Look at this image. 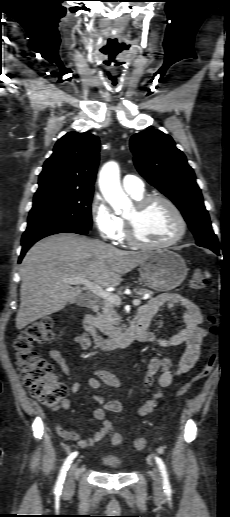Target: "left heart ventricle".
I'll return each mask as SVG.
<instances>
[{
    "mask_svg": "<svg viewBox=\"0 0 230 517\" xmlns=\"http://www.w3.org/2000/svg\"><path fill=\"white\" fill-rule=\"evenodd\" d=\"M126 217L134 220L137 234L149 243L168 241L179 229L174 213L161 201L152 202L141 212L133 207Z\"/></svg>",
    "mask_w": 230,
    "mask_h": 517,
    "instance_id": "left-heart-ventricle-1",
    "label": "left heart ventricle"
}]
</instances>
